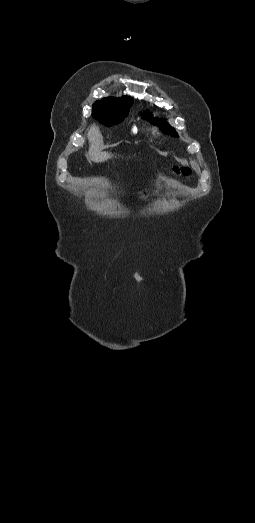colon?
I'll return each mask as SVG.
<instances>
[{"label": "colon", "instance_id": "5ec220e1", "mask_svg": "<svg viewBox=\"0 0 255 523\" xmlns=\"http://www.w3.org/2000/svg\"><path fill=\"white\" fill-rule=\"evenodd\" d=\"M174 174L176 175H182V176H188L190 174V169L188 167H175L173 169Z\"/></svg>", "mask_w": 255, "mask_h": 523}]
</instances>
